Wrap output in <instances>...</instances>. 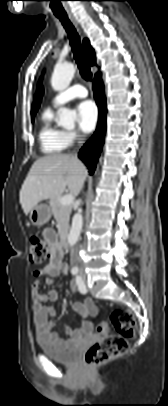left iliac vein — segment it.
Masks as SVG:
<instances>
[{
	"label": "left iliac vein",
	"mask_w": 168,
	"mask_h": 406,
	"mask_svg": "<svg viewBox=\"0 0 168 406\" xmlns=\"http://www.w3.org/2000/svg\"><path fill=\"white\" fill-rule=\"evenodd\" d=\"M81 276H82V280H83V282L85 284L86 283V275L84 273H82Z\"/></svg>",
	"instance_id": "left-iliac-vein-1"
}]
</instances>
